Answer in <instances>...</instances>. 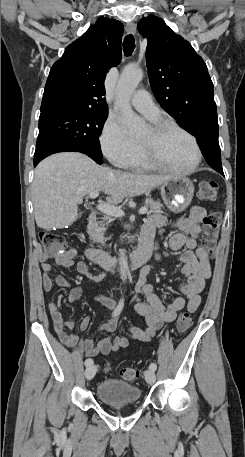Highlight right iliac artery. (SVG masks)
<instances>
[{
  "mask_svg": "<svg viewBox=\"0 0 245 457\" xmlns=\"http://www.w3.org/2000/svg\"><path fill=\"white\" fill-rule=\"evenodd\" d=\"M123 305H124V300H123V299H120L119 304H118V306H117V309H116L115 312H114L115 315L118 314V313L122 310ZM92 364H93V360H92L91 358H87V359L85 360V366H86V367H88V366H90V365H92Z\"/></svg>",
  "mask_w": 245,
  "mask_h": 457,
  "instance_id": "1",
  "label": "right iliac artery"
}]
</instances>
